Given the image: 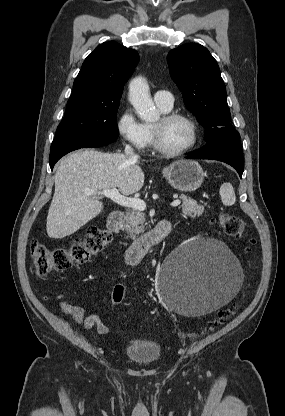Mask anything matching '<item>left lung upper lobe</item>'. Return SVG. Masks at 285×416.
I'll list each match as a JSON object with an SVG mask.
<instances>
[{"label":"left lung upper lobe","instance_id":"obj_1","mask_svg":"<svg viewBox=\"0 0 285 416\" xmlns=\"http://www.w3.org/2000/svg\"><path fill=\"white\" fill-rule=\"evenodd\" d=\"M170 76L182 92L183 101L206 129L208 143L239 133L230 123L226 88L219 66L207 48L184 44L169 52Z\"/></svg>","mask_w":285,"mask_h":416}]
</instances>
